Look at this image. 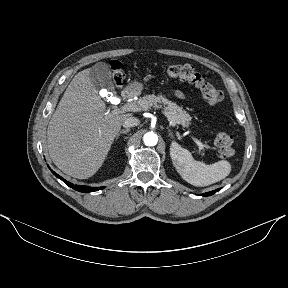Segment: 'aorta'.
I'll list each match as a JSON object with an SVG mask.
<instances>
[{
	"instance_id": "aorta-1",
	"label": "aorta",
	"mask_w": 288,
	"mask_h": 288,
	"mask_svg": "<svg viewBox=\"0 0 288 288\" xmlns=\"http://www.w3.org/2000/svg\"><path fill=\"white\" fill-rule=\"evenodd\" d=\"M146 146H155L158 142V136L154 132H147L143 137Z\"/></svg>"
}]
</instances>
